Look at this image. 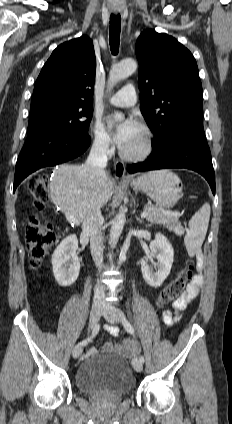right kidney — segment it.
<instances>
[{
  "label": "right kidney",
  "mask_w": 232,
  "mask_h": 424,
  "mask_svg": "<svg viewBox=\"0 0 232 424\" xmlns=\"http://www.w3.org/2000/svg\"><path fill=\"white\" fill-rule=\"evenodd\" d=\"M78 240L69 235L61 241L52 255V270L57 283L62 287L72 285L80 272V259L77 254Z\"/></svg>",
  "instance_id": "right-kidney-1"
}]
</instances>
